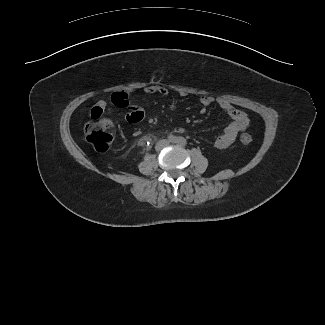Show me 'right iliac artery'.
Wrapping results in <instances>:
<instances>
[{
	"instance_id": "right-iliac-artery-1",
	"label": "right iliac artery",
	"mask_w": 325,
	"mask_h": 325,
	"mask_svg": "<svg viewBox=\"0 0 325 325\" xmlns=\"http://www.w3.org/2000/svg\"><path fill=\"white\" fill-rule=\"evenodd\" d=\"M167 138H168V140H169L170 142H175V141H176V137L173 136L172 134L168 135Z\"/></svg>"
}]
</instances>
